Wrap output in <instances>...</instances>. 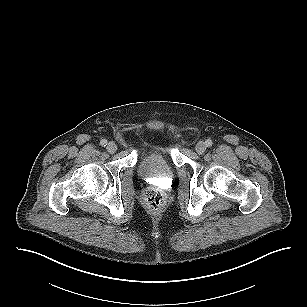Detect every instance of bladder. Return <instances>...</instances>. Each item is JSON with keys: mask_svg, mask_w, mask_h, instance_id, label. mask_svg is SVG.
Here are the masks:
<instances>
[{"mask_svg": "<svg viewBox=\"0 0 307 307\" xmlns=\"http://www.w3.org/2000/svg\"><path fill=\"white\" fill-rule=\"evenodd\" d=\"M138 173L143 178L171 180L174 170L165 155L158 150L145 154L138 162Z\"/></svg>", "mask_w": 307, "mask_h": 307, "instance_id": "31cf9c89", "label": "bladder"}]
</instances>
